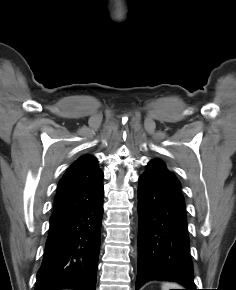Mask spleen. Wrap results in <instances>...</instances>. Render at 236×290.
<instances>
[{
    "instance_id": "spleen-1",
    "label": "spleen",
    "mask_w": 236,
    "mask_h": 290,
    "mask_svg": "<svg viewBox=\"0 0 236 290\" xmlns=\"http://www.w3.org/2000/svg\"><path fill=\"white\" fill-rule=\"evenodd\" d=\"M178 287H180L178 284L176 283H164L162 285V290H169V289H179Z\"/></svg>"
}]
</instances>
